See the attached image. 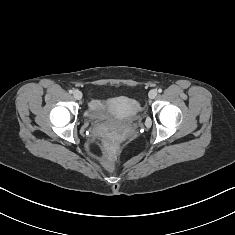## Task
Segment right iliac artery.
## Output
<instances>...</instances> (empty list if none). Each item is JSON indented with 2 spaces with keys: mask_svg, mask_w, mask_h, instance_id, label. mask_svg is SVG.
Instances as JSON below:
<instances>
[{
  "mask_svg": "<svg viewBox=\"0 0 235 235\" xmlns=\"http://www.w3.org/2000/svg\"><path fill=\"white\" fill-rule=\"evenodd\" d=\"M69 93L72 94V93H73V90H69Z\"/></svg>",
  "mask_w": 235,
  "mask_h": 235,
  "instance_id": "obj_1",
  "label": "right iliac artery"
}]
</instances>
